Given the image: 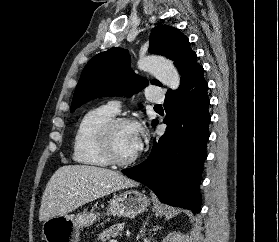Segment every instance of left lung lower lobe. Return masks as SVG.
I'll return each mask as SVG.
<instances>
[{"instance_id":"0a47b994","label":"left lung lower lobe","mask_w":279,"mask_h":242,"mask_svg":"<svg viewBox=\"0 0 279 242\" xmlns=\"http://www.w3.org/2000/svg\"><path fill=\"white\" fill-rule=\"evenodd\" d=\"M196 58L194 53L188 59L179 89L166 93L165 134L144 162L122 172L149 187L161 202L199 213L211 116L208 84Z\"/></svg>"}]
</instances>
